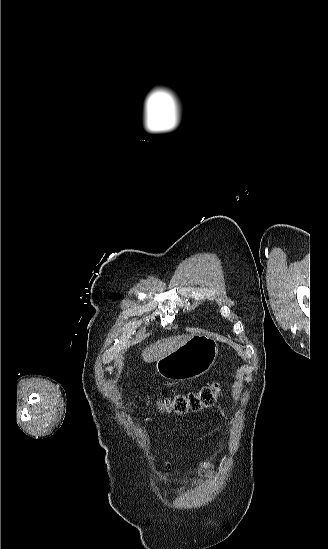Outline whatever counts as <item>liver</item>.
I'll use <instances>...</instances> for the list:
<instances>
[{
	"label": "liver",
	"mask_w": 328,
	"mask_h": 549,
	"mask_svg": "<svg viewBox=\"0 0 328 549\" xmlns=\"http://www.w3.org/2000/svg\"><path fill=\"white\" fill-rule=\"evenodd\" d=\"M189 339H191V335H176V337H169V339L153 343V345L142 351L143 361L145 363H154V361H158L161 357H166L169 353H173V351L182 347Z\"/></svg>",
	"instance_id": "liver-1"
}]
</instances>
